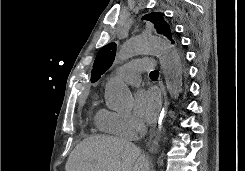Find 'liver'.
Here are the masks:
<instances>
[{
	"label": "liver",
	"mask_w": 245,
	"mask_h": 171,
	"mask_svg": "<svg viewBox=\"0 0 245 171\" xmlns=\"http://www.w3.org/2000/svg\"><path fill=\"white\" fill-rule=\"evenodd\" d=\"M65 171H150V165L135 144L112 136H92L71 152Z\"/></svg>",
	"instance_id": "obj_1"
}]
</instances>
